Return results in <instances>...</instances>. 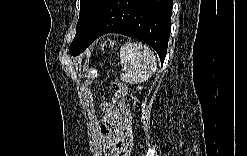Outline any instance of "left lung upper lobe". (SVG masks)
<instances>
[{"mask_svg":"<svg viewBox=\"0 0 247 156\" xmlns=\"http://www.w3.org/2000/svg\"><path fill=\"white\" fill-rule=\"evenodd\" d=\"M107 0H80V15L76 25V35L69 47L71 55H79L83 52L86 34L100 14Z\"/></svg>","mask_w":247,"mask_h":156,"instance_id":"5c2ea615","label":"left lung upper lobe"}]
</instances>
